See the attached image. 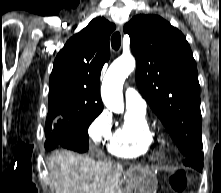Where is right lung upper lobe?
Masks as SVG:
<instances>
[{"label": "right lung upper lobe", "instance_id": "cb5924a9", "mask_svg": "<svg viewBox=\"0 0 221 193\" xmlns=\"http://www.w3.org/2000/svg\"><path fill=\"white\" fill-rule=\"evenodd\" d=\"M115 25L92 20L58 53L49 81V115L101 112L100 74L110 58L109 37Z\"/></svg>", "mask_w": 221, "mask_h": 193}]
</instances>
